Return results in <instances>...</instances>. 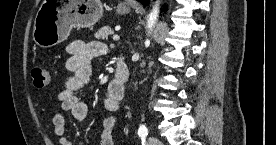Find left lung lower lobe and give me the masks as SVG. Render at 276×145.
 Masks as SVG:
<instances>
[{"mask_svg":"<svg viewBox=\"0 0 276 145\" xmlns=\"http://www.w3.org/2000/svg\"><path fill=\"white\" fill-rule=\"evenodd\" d=\"M140 2H142L144 5H148V0H138Z\"/></svg>","mask_w":276,"mask_h":145,"instance_id":"left-lung-lower-lobe-1","label":"left lung lower lobe"}]
</instances>
